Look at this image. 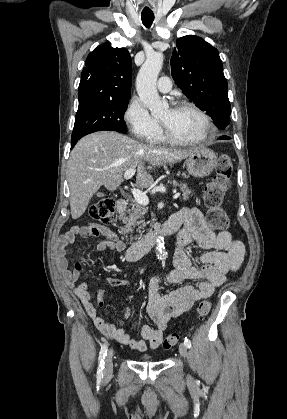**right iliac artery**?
Returning a JSON list of instances; mask_svg holds the SVG:
<instances>
[{"label": "right iliac artery", "mask_w": 287, "mask_h": 419, "mask_svg": "<svg viewBox=\"0 0 287 419\" xmlns=\"http://www.w3.org/2000/svg\"><path fill=\"white\" fill-rule=\"evenodd\" d=\"M107 344H104L101 347L100 353H99V364H98V370H97V378L101 379L103 377V370H104V359L107 355Z\"/></svg>", "instance_id": "right-iliac-artery-1"}]
</instances>
